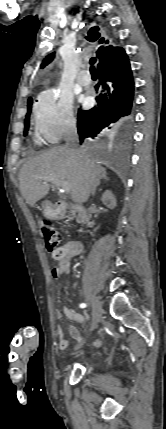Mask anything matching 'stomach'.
<instances>
[{
  "mask_svg": "<svg viewBox=\"0 0 166 429\" xmlns=\"http://www.w3.org/2000/svg\"><path fill=\"white\" fill-rule=\"evenodd\" d=\"M42 207L43 213L46 217L54 218L57 216L56 211L52 208L51 204L48 201H44Z\"/></svg>",
  "mask_w": 166,
  "mask_h": 429,
  "instance_id": "stomach-1",
  "label": "stomach"
}]
</instances>
